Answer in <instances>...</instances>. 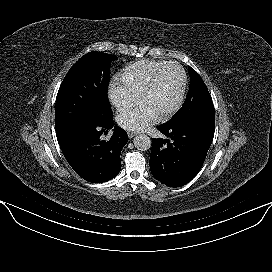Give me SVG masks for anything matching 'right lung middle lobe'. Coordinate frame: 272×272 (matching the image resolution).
Wrapping results in <instances>:
<instances>
[{"mask_svg":"<svg viewBox=\"0 0 272 272\" xmlns=\"http://www.w3.org/2000/svg\"><path fill=\"white\" fill-rule=\"evenodd\" d=\"M117 56L90 52L68 71L59 88L55 105L57 139L83 123H102L112 117L107 97L109 67Z\"/></svg>","mask_w":272,"mask_h":272,"instance_id":"obj_1","label":"right lung middle lobe"}]
</instances>
